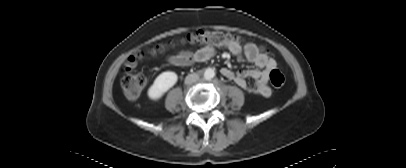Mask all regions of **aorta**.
Returning a JSON list of instances; mask_svg holds the SVG:
<instances>
[{
	"label": "aorta",
	"mask_w": 406,
	"mask_h": 168,
	"mask_svg": "<svg viewBox=\"0 0 406 168\" xmlns=\"http://www.w3.org/2000/svg\"><path fill=\"white\" fill-rule=\"evenodd\" d=\"M215 76V71L212 68H207L204 72V78L209 80Z\"/></svg>",
	"instance_id": "aorta-1"
}]
</instances>
